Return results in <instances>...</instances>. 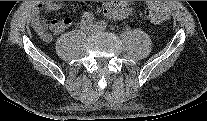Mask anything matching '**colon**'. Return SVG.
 <instances>
[{
    "label": "colon",
    "mask_w": 207,
    "mask_h": 121,
    "mask_svg": "<svg viewBox=\"0 0 207 121\" xmlns=\"http://www.w3.org/2000/svg\"><path fill=\"white\" fill-rule=\"evenodd\" d=\"M146 15L151 22L159 24L170 17V9L165 2L151 1L146 7Z\"/></svg>",
    "instance_id": "obj_1"
}]
</instances>
